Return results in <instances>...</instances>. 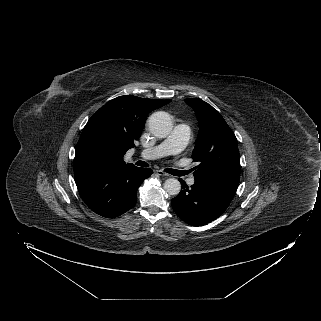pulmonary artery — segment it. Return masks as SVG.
<instances>
[{
    "label": "pulmonary artery",
    "instance_id": "obj_1",
    "mask_svg": "<svg viewBox=\"0 0 321 321\" xmlns=\"http://www.w3.org/2000/svg\"><path fill=\"white\" fill-rule=\"evenodd\" d=\"M191 135V129L186 124H178L174 127L171 134L156 146L146 148L140 152L144 159H156L167 155H176L180 153L187 145ZM195 180L188 181L193 185Z\"/></svg>",
    "mask_w": 321,
    "mask_h": 321
}]
</instances>
